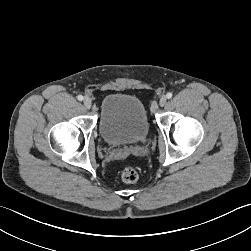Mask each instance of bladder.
Masks as SVG:
<instances>
[{
	"label": "bladder",
	"mask_w": 251,
	"mask_h": 251,
	"mask_svg": "<svg viewBox=\"0 0 251 251\" xmlns=\"http://www.w3.org/2000/svg\"><path fill=\"white\" fill-rule=\"evenodd\" d=\"M99 131L104 141L111 145L144 140L150 131L144 104L129 94L107 95L101 103Z\"/></svg>",
	"instance_id": "1"
}]
</instances>
